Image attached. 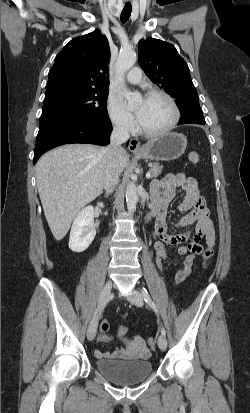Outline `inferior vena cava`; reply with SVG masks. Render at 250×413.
<instances>
[{
	"label": "inferior vena cava",
	"instance_id": "1",
	"mask_svg": "<svg viewBox=\"0 0 250 413\" xmlns=\"http://www.w3.org/2000/svg\"><path fill=\"white\" fill-rule=\"evenodd\" d=\"M129 137L130 135L127 127L120 122H116L110 136V144L105 149L107 169L104 188L107 194L111 193L119 183L120 172L116 168L115 161L122 150L121 145L127 142Z\"/></svg>",
	"mask_w": 250,
	"mask_h": 413
}]
</instances>
